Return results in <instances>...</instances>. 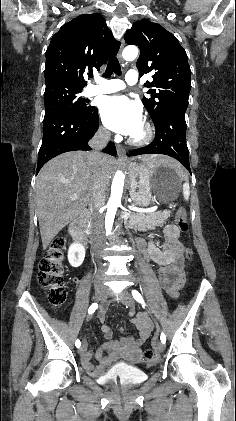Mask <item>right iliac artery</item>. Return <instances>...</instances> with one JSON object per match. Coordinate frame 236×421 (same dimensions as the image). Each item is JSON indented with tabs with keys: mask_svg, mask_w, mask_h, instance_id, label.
<instances>
[{
	"mask_svg": "<svg viewBox=\"0 0 236 421\" xmlns=\"http://www.w3.org/2000/svg\"><path fill=\"white\" fill-rule=\"evenodd\" d=\"M98 308V304L97 303H93L90 307H89V309H88V313L89 314H92V313H94L95 312V310ZM75 346L77 347V348H79L80 346H81V342H80V340H76V342H75Z\"/></svg>",
	"mask_w": 236,
	"mask_h": 421,
	"instance_id": "obj_1",
	"label": "right iliac artery"
}]
</instances>
